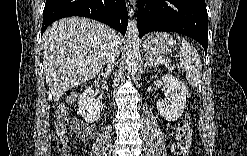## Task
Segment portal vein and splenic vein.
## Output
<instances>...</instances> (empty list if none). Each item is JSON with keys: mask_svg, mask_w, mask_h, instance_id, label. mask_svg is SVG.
<instances>
[{"mask_svg": "<svg viewBox=\"0 0 247 156\" xmlns=\"http://www.w3.org/2000/svg\"><path fill=\"white\" fill-rule=\"evenodd\" d=\"M168 61H169V60H167V59H162V60L160 61V63H161V64L167 65Z\"/></svg>", "mask_w": 247, "mask_h": 156, "instance_id": "1", "label": "portal vein and splenic vein"}]
</instances>
